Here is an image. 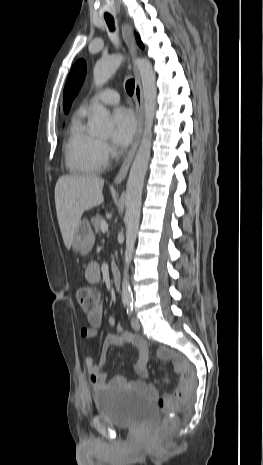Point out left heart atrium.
I'll use <instances>...</instances> for the list:
<instances>
[{
  "mask_svg": "<svg viewBox=\"0 0 263 465\" xmlns=\"http://www.w3.org/2000/svg\"><path fill=\"white\" fill-rule=\"evenodd\" d=\"M112 141L119 147L128 145L136 131V119L133 112L125 107H117L112 114Z\"/></svg>",
  "mask_w": 263,
  "mask_h": 465,
  "instance_id": "1",
  "label": "left heart atrium"
}]
</instances>
